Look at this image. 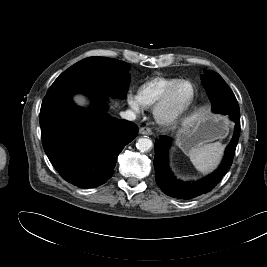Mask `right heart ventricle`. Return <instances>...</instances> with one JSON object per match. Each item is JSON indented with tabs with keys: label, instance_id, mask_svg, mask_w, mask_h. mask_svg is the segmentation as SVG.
<instances>
[{
	"label": "right heart ventricle",
	"instance_id": "right-heart-ventricle-1",
	"mask_svg": "<svg viewBox=\"0 0 267 267\" xmlns=\"http://www.w3.org/2000/svg\"><path fill=\"white\" fill-rule=\"evenodd\" d=\"M179 80L178 78L155 77L140 86L138 96L145 106L154 105L163 93Z\"/></svg>",
	"mask_w": 267,
	"mask_h": 267
}]
</instances>
